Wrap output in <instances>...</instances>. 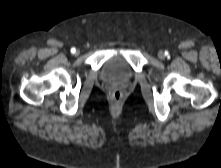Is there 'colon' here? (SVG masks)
<instances>
[{
  "label": "colon",
  "instance_id": "obj_1",
  "mask_svg": "<svg viewBox=\"0 0 221 168\" xmlns=\"http://www.w3.org/2000/svg\"><path fill=\"white\" fill-rule=\"evenodd\" d=\"M112 99L115 101V102H119L121 99H122V93L120 91H114L112 93Z\"/></svg>",
  "mask_w": 221,
  "mask_h": 168
}]
</instances>
